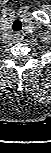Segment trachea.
<instances>
[{"instance_id": "1", "label": "trachea", "mask_w": 51, "mask_h": 153, "mask_svg": "<svg viewBox=\"0 0 51 153\" xmlns=\"http://www.w3.org/2000/svg\"><path fill=\"white\" fill-rule=\"evenodd\" d=\"M20 22L19 21H15L12 28L14 31H19L21 29V25H19Z\"/></svg>"}]
</instances>
